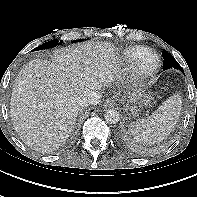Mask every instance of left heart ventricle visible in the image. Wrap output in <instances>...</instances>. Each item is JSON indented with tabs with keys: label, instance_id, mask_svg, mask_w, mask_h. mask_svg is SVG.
Returning a JSON list of instances; mask_svg holds the SVG:
<instances>
[{
	"label": "left heart ventricle",
	"instance_id": "obj_1",
	"mask_svg": "<svg viewBox=\"0 0 197 197\" xmlns=\"http://www.w3.org/2000/svg\"><path fill=\"white\" fill-rule=\"evenodd\" d=\"M155 63V58H150L147 62H146V67H152Z\"/></svg>",
	"mask_w": 197,
	"mask_h": 197
}]
</instances>
